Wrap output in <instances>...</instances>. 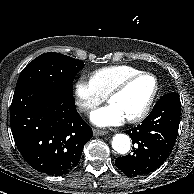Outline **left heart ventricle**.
Segmentation results:
<instances>
[{
    "label": "left heart ventricle",
    "instance_id": "left-heart-ventricle-1",
    "mask_svg": "<svg viewBox=\"0 0 194 194\" xmlns=\"http://www.w3.org/2000/svg\"><path fill=\"white\" fill-rule=\"evenodd\" d=\"M155 82L149 76L136 79L118 96L111 99L113 105L128 119L139 114L148 102L154 90Z\"/></svg>",
    "mask_w": 194,
    "mask_h": 194
}]
</instances>
